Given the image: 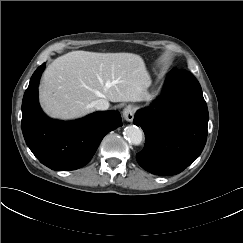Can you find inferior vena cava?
I'll return each instance as SVG.
<instances>
[{
	"label": "inferior vena cava",
	"mask_w": 243,
	"mask_h": 243,
	"mask_svg": "<svg viewBox=\"0 0 243 243\" xmlns=\"http://www.w3.org/2000/svg\"><path fill=\"white\" fill-rule=\"evenodd\" d=\"M94 108L96 110H107L109 108V102L106 99H98L94 102Z\"/></svg>",
	"instance_id": "602c4592"
}]
</instances>
